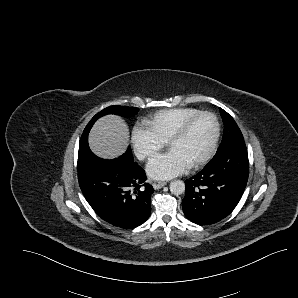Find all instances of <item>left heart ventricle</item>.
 <instances>
[{"label": "left heart ventricle", "instance_id": "1", "mask_svg": "<svg viewBox=\"0 0 298 298\" xmlns=\"http://www.w3.org/2000/svg\"><path fill=\"white\" fill-rule=\"evenodd\" d=\"M212 132L211 120L208 117H201L171 143L169 150L177 153L183 161L190 165L204 153Z\"/></svg>", "mask_w": 298, "mask_h": 298}]
</instances>
